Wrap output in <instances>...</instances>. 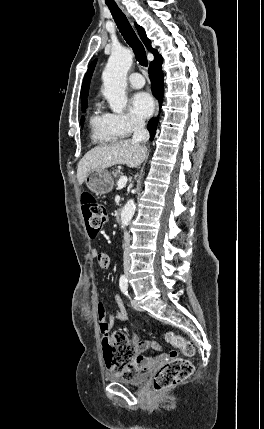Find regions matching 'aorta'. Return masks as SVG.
<instances>
[{
  "label": "aorta",
  "mask_w": 264,
  "mask_h": 429,
  "mask_svg": "<svg viewBox=\"0 0 264 429\" xmlns=\"http://www.w3.org/2000/svg\"><path fill=\"white\" fill-rule=\"evenodd\" d=\"M132 62V52L127 48L118 47L113 49L103 71V95L115 113H121L127 104L126 77ZM135 208L134 200H128L121 212L122 228H125L133 218Z\"/></svg>",
  "instance_id": "aorta-1"
}]
</instances>
